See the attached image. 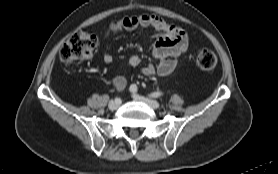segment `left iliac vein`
I'll return each instance as SVG.
<instances>
[{
	"label": "left iliac vein",
	"instance_id": "4c4485c4",
	"mask_svg": "<svg viewBox=\"0 0 278 174\" xmlns=\"http://www.w3.org/2000/svg\"><path fill=\"white\" fill-rule=\"evenodd\" d=\"M133 98L135 100L144 102L145 104H147L152 109H158L160 107L159 102H157L156 100L146 98L144 96H140V95H136V94L133 95Z\"/></svg>",
	"mask_w": 278,
	"mask_h": 174
}]
</instances>
